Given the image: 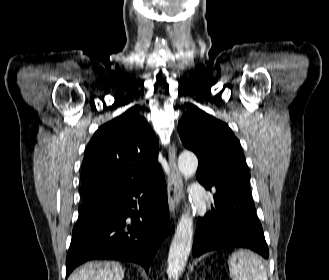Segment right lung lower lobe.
<instances>
[{"mask_svg":"<svg viewBox=\"0 0 329 280\" xmlns=\"http://www.w3.org/2000/svg\"><path fill=\"white\" fill-rule=\"evenodd\" d=\"M137 207L139 211L134 210ZM169 227L163 174L143 183L101 189L79 207L66 258V276L93 259L135 262L148 272Z\"/></svg>","mask_w":329,"mask_h":280,"instance_id":"obj_1","label":"right lung lower lobe"}]
</instances>
